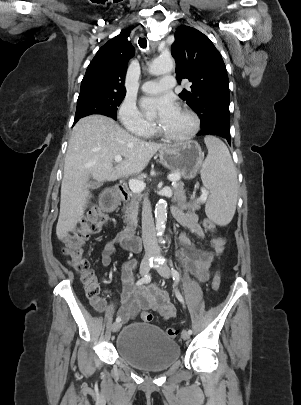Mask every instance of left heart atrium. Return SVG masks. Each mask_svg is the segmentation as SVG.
Wrapping results in <instances>:
<instances>
[{
    "mask_svg": "<svg viewBox=\"0 0 301 405\" xmlns=\"http://www.w3.org/2000/svg\"><path fill=\"white\" fill-rule=\"evenodd\" d=\"M141 105L144 109L155 110L159 121L165 120L179 111L177 103L170 95L145 97L142 99Z\"/></svg>",
    "mask_w": 301,
    "mask_h": 405,
    "instance_id": "1",
    "label": "left heart atrium"
}]
</instances>
